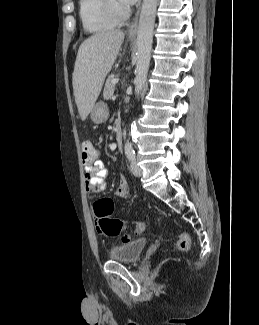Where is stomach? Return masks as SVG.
Wrapping results in <instances>:
<instances>
[{"instance_id":"1","label":"stomach","mask_w":259,"mask_h":325,"mask_svg":"<svg viewBox=\"0 0 259 325\" xmlns=\"http://www.w3.org/2000/svg\"><path fill=\"white\" fill-rule=\"evenodd\" d=\"M108 118V107L107 105L99 101L94 104L92 111H91V119L94 123L99 124L106 121Z\"/></svg>"}]
</instances>
